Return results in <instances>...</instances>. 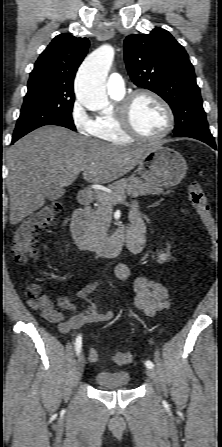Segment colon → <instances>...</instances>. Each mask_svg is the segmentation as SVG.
Returning <instances> with one entry per match:
<instances>
[{"mask_svg":"<svg viewBox=\"0 0 222 447\" xmlns=\"http://www.w3.org/2000/svg\"><path fill=\"white\" fill-rule=\"evenodd\" d=\"M189 200L197 212L206 232L212 239L211 258L216 255L217 226L213 217L207 195L198 182H192L188 188ZM63 209L61 201H54L40 208L32 215L26 217L16 228L12 241V256L17 264L24 265L39 253L38 234L51 226ZM28 300L36 301L40 288L36 284H30L26 290ZM93 361L98 359L97 352H91ZM112 360L118 365L129 364L133 355L129 352H117L112 355Z\"/></svg>","mask_w":222,"mask_h":447,"instance_id":"1","label":"colon"}]
</instances>
